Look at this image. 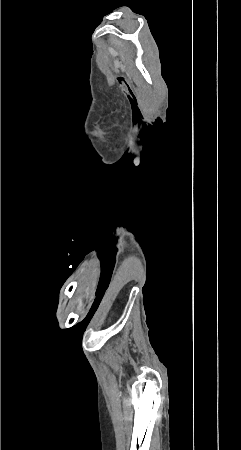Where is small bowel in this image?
Here are the masks:
<instances>
[{
  "mask_svg": "<svg viewBox=\"0 0 241 450\" xmlns=\"http://www.w3.org/2000/svg\"><path fill=\"white\" fill-rule=\"evenodd\" d=\"M105 316H106V317H109V316H110V313H109V312H106V313H105ZM113 317H114L115 319H121V318L123 317V312H122L121 310H115V311L113 312Z\"/></svg>",
  "mask_w": 241,
  "mask_h": 450,
  "instance_id": "obj_1",
  "label": "small bowel"
}]
</instances>
